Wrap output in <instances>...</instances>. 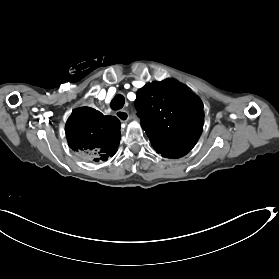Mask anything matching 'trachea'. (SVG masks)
Masks as SVG:
<instances>
[{
	"label": "trachea",
	"instance_id": "trachea-1",
	"mask_svg": "<svg viewBox=\"0 0 279 279\" xmlns=\"http://www.w3.org/2000/svg\"><path fill=\"white\" fill-rule=\"evenodd\" d=\"M125 104V98L123 95L121 94H117L111 101L110 103V107L113 109V110H119L121 108H123Z\"/></svg>",
	"mask_w": 279,
	"mask_h": 279
}]
</instances>
